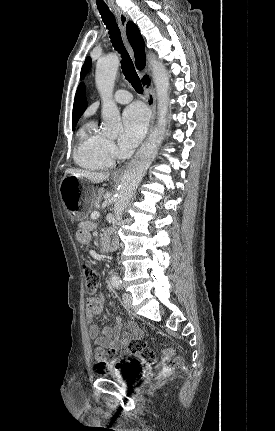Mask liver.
Returning <instances> with one entry per match:
<instances>
[{
  "instance_id": "1",
  "label": "liver",
  "mask_w": 275,
  "mask_h": 431,
  "mask_svg": "<svg viewBox=\"0 0 275 431\" xmlns=\"http://www.w3.org/2000/svg\"><path fill=\"white\" fill-rule=\"evenodd\" d=\"M68 174L79 177V178H86L89 181L93 183H101L104 180L108 179L110 174L107 173H96V172H90L86 170H80V169H67L65 171L66 177Z\"/></svg>"
}]
</instances>
